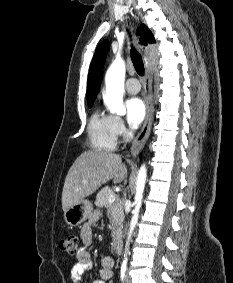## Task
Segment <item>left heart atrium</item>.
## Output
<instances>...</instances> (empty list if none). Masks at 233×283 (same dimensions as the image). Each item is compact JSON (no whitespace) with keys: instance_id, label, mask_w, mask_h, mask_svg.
Wrapping results in <instances>:
<instances>
[{"instance_id":"obj_1","label":"left heart atrium","mask_w":233,"mask_h":283,"mask_svg":"<svg viewBox=\"0 0 233 283\" xmlns=\"http://www.w3.org/2000/svg\"><path fill=\"white\" fill-rule=\"evenodd\" d=\"M126 118L130 127L137 128L145 118L146 108L144 102L133 97L126 101Z\"/></svg>"}]
</instances>
